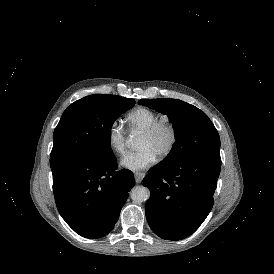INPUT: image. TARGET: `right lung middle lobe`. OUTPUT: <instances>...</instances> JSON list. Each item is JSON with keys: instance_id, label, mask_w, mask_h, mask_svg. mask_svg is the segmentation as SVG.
<instances>
[{"instance_id": "dd1d6c3e", "label": "right lung middle lobe", "mask_w": 274, "mask_h": 274, "mask_svg": "<svg viewBox=\"0 0 274 274\" xmlns=\"http://www.w3.org/2000/svg\"><path fill=\"white\" fill-rule=\"evenodd\" d=\"M134 104V99L105 94L90 95L72 103L54 131L51 166L75 158L112 156V125L122 112Z\"/></svg>"}]
</instances>
